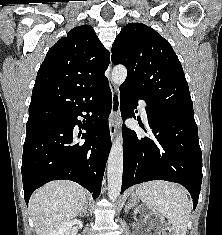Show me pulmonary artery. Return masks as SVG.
Instances as JSON below:
<instances>
[{"instance_id": "obj_1", "label": "pulmonary artery", "mask_w": 222, "mask_h": 235, "mask_svg": "<svg viewBox=\"0 0 222 235\" xmlns=\"http://www.w3.org/2000/svg\"><path fill=\"white\" fill-rule=\"evenodd\" d=\"M139 105H140V110H141L142 116H143L144 119H146L147 118V114H146V110H145V108H146L145 101L144 100H140L139 101Z\"/></svg>"}]
</instances>
